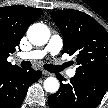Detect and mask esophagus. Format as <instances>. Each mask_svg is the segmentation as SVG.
Returning <instances> with one entry per match:
<instances>
[{
    "mask_svg": "<svg viewBox=\"0 0 108 108\" xmlns=\"http://www.w3.org/2000/svg\"><path fill=\"white\" fill-rule=\"evenodd\" d=\"M42 74H43L44 76H52V75H53L52 73H50V72H48V71H45V70L42 71Z\"/></svg>",
    "mask_w": 108,
    "mask_h": 108,
    "instance_id": "34e87169",
    "label": "esophagus"
}]
</instances>
